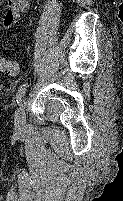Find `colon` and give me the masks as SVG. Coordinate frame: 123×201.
Wrapping results in <instances>:
<instances>
[{
  "label": "colon",
  "mask_w": 123,
  "mask_h": 201,
  "mask_svg": "<svg viewBox=\"0 0 123 201\" xmlns=\"http://www.w3.org/2000/svg\"><path fill=\"white\" fill-rule=\"evenodd\" d=\"M0 71L7 75H16L19 72V65L16 61L6 60L0 55Z\"/></svg>",
  "instance_id": "colon-1"
}]
</instances>
